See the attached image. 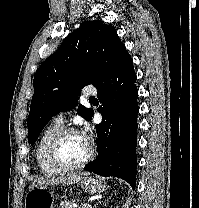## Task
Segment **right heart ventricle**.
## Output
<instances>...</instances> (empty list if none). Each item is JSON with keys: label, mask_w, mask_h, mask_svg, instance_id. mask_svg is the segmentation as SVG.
<instances>
[{"label": "right heart ventricle", "mask_w": 199, "mask_h": 208, "mask_svg": "<svg viewBox=\"0 0 199 208\" xmlns=\"http://www.w3.org/2000/svg\"><path fill=\"white\" fill-rule=\"evenodd\" d=\"M63 128V124L56 121L49 124L41 133L35 150V158L40 171L44 175L52 176L60 173L48 160V146L53 137Z\"/></svg>", "instance_id": "obj_1"}]
</instances>
